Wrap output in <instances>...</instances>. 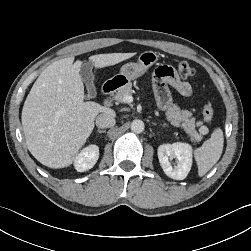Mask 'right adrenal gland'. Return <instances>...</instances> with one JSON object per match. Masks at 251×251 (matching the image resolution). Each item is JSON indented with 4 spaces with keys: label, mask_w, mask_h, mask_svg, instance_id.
<instances>
[{
    "label": "right adrenal gland",
    "mask_w": 251,
    "mask_h": 251,
    "mask_svg": "<svg viewBox=\"0 0 251 251\" xmlns=\"http://www.w3.org/2000/svg\"><path fill=\"white\" fill-rule=\"evenodd\" d=\"M97 133H106V131L105 130H97Z\"/></svg>",
    "instance_id": "right-adrenal-gland-1"
}]
</instances>
